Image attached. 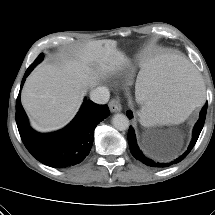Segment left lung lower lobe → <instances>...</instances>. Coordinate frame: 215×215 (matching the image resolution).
<instances>
[{"mask_svg": "<svg viewBox=\"0 0 215 215\" xmlns=\"http://www.w3.org/2000/svg\"><path fill=\"white\" fill-rule=\"evenodd\" d=\"M206 110H207V103L203 106V108L200 112V118L197 121V123L195 124L194 130H193V138H192V141H191L187 151L184 152L183 155H181L176 160H174L170 163H165V162H158V161L152 160L151 158L147 157L139 149V147L137 145L135 132H134V129L132 126H130L129 132H128V142H129L131 154L134 156V158H136L137 160L141 161L142 163H144L145 165L150 166V167L163 168V167H169L172 164H176V163L180 162L189 154V152L191 151V149L197 142V139L200 135V132H201L204 122H205ZM126 114L129 118H132V112L130 110L127 111Z\"/></svg>", "mask_w": 215, "mask_h": 215, "instance_id": "obj_1", "label": "left lung lower lobe"}]
</instances>
